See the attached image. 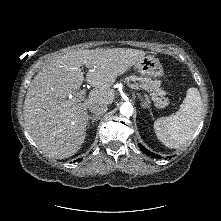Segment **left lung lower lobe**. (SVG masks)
<instances>
[{"label":"left lung lower lobe","mask_w":221,"mask_h":221,"mask_svg":"<svg viewBox=\"0 0 221 221\" xmlns=\"http://www.w3.org/2000/svg\"><path fill=\"white\" fill-rule=\"evenodd\" d=\"M140 150L147 154L148 156H151L153 158H161L160 155H157L151 151H148L143 145L139 144Z\"/></svg>","instance_id":"0a47b994"}]
</instances>
